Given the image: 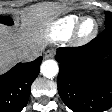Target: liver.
Segmentation results:
<instances>
[{
    "instance_id": "obj_1",
    "label": "liver",
    "mask_w": 112,
    "mask_h": 112,
    "mask_svg": "<svg viewBox=\"0 0 112 112\" xmlns=\"http://www.w3.org/2000/svg\"><path fill=\"white\" fill-rule=\"evenodd\" d=\"M60 11V7L52 3H42L27 8L23 13L18 33L0 24V74L20 60L18 56L23 50L42 49L39 30Z\"/></svg>"
}]
</instances>
